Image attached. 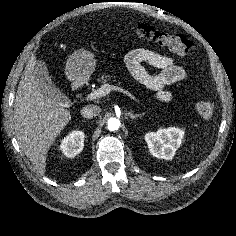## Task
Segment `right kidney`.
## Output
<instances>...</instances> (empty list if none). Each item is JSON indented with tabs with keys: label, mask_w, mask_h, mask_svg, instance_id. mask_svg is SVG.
I'll return each mask as SVG.
<instances>
[{
	"label": "right kidney",
	"mask_w": 236,
	"mask_h": 236,
	"mask_svg": "<svg viewBox=\"0 0 236 236\" xmlns=\"http://www.w3.org/2000/svg\"><path fill=\"white\" fill-rule=\"evenodd\" d=\"M84 132L76 130L66 136L61 144L60 150L68 158L75 157L84 148Z\"/></svg>",
	"instance_id": "ca27d5eb"
}]
</instances>
